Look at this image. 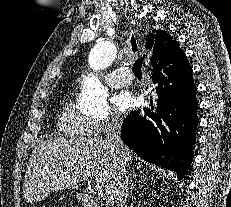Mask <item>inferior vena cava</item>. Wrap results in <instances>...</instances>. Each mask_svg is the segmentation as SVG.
<instances>
[{"label": "inferior vena cava", "instance_id": "602c4592", "mask_svg": "<svg viewBox=\"0 0 231 207\" xmlns=\"http://www.w3.org/2000/svg\"><path fill=\"white\" fill-rule=\"evenodd\" d=\"M106 144L121 158V165L115 177L113 196L117 207H127L128 174L125 166L124 144L121 139V121L118 116H111L107 121Z\"/></svg>", "mask_w": 231, "mask_h": 207}]
</instances>
